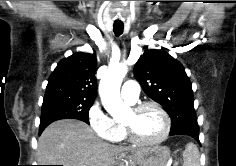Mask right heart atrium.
I'll use <instances>...</instances> for the list:
<instances>
[{"instance_id": "obj_1", "label": "right heart atrium", "mask_w": 236, "mask_h": 166, "mask_svg": "<svg viewBox=\"0 0 236 166\" xmlns=\"http://www.w3.org/2000/svg\"><path fill=\"white\" fill-rule=\"evenodd\" d=\"M88 123L99 138L114 141L116 126L114 120L104 111L99 101H95L87 112Z\"/></svg>"}]
</instances>
